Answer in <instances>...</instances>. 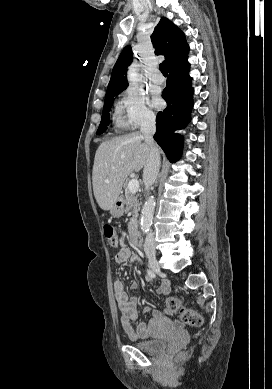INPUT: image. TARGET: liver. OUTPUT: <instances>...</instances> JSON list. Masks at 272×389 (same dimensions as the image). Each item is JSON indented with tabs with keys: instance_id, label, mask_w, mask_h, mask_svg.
<instances>
[{
	"instance_id": "6515ba94",
	"label": "liver",
	"mask_w": 272,
	"mask_h": 389,
	"mask_svg": "<svg viewBox=\"0 0 272 389\" xmlns=\"http://www.w3.org/2000/svg\"><path fill=\"white\" fill-rule=\"evenodd\" d=\"M140 132L102 142L95 154L92 184L102 210H110L122 191L126 178L140 171L149 155V145Z\"/></svg>"
}]
</instances>
